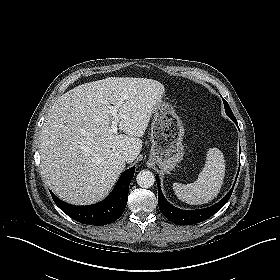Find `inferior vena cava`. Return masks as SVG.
<instances>
[{
    "instance_id": "inferior-vena-cava-1",
    "label": "inferior vena cava",
    "mask_w": 280,
    "mask_h": 280,
    "mask_svg": "<svg viewBox=\"0 0 280 280\" xmlns=\"http://www.w3.org/2000/svg\"><path fill=\"white\" fill-rule=\"evenodd\" d=\"M130 159H131V156L129 155V153L124 152L123 155H122V160L128 162Z\"/></svg>"
}]
</instances>
